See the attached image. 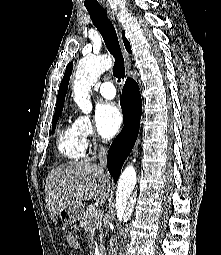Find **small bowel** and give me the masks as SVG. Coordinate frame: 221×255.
<instances>
[{
  "label": "small bowel",
  "mask_w": 221,
  "mask_h": 255,
  "mask_svg": "<svg viewBox=\"0 0 221 255\" xmlns=\"http://www.w3.org/2000/svg\"><path fill=\"white\" fill-rule=\"evenodd\" d=\"M67 244L74 250L80 249V243L73 233H68L66 236Z\"/></svg>",
  "instance_id": "obj_1"
}]
</instances>
